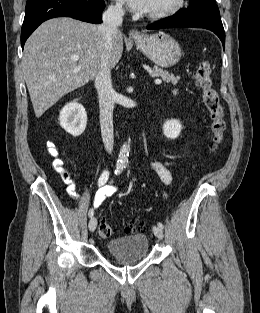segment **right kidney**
Here are the masks:
<instances>
[{"instance_id":"ca27d5eb","label":"right kidney","mask_w":260,"mask_h":313,"mask_svg":"<svg viewBox=\"0 0 260 313\" xmlns=\"http://www.w3.org/2000/svg\"><path fill=\"white\" fill-rule=\"evenodd\" d=\"M59 121L61 127L74 137L80 136L87 124L85 108L76 100L68 103L60 111Z\"/></svg>"}]
</instances>
